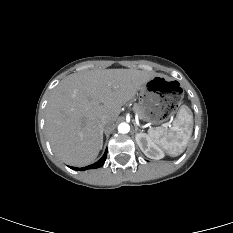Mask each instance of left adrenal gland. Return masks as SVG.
<instances>
[{"mask_svg":"<svg viewBox=\"0 0 233 233\" xmlns=\"http://www.w3.org/2000/svg\"><path fill=\"white\" fill-rule=\"evenodd\" d=\"M135 131L137 132L139 130L138 126L134 123ZM143 131V130H142ZM137 134V133H136Z\"/></svg>","mask_w":233,"mask_h":233,"instance_id":"1","label":"left adrenal gland"}]
</instances>
